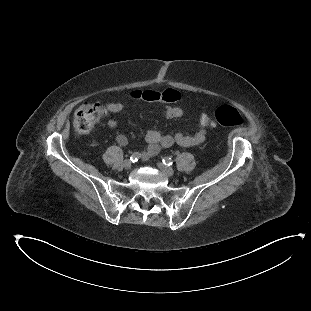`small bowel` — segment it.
<instances>
[{"label": "small bowel", "mask_w": 311, "mask_h": 311, "mask_svg": "<svg viewBox=\"0 0 311 311\" xmlns=\"http://www.w3.org/2000/svg\"><path fill=\"white\" fill-rule=\"evenodd\" d=\"M106 110L109 113L121 112L125 105L120 101L110 100L106 104ZM162 115L168 119L179 118L183 115V111L180 107L167 106L163 111ZM107 125L110 128H115L118 125L116 119L110 118L107 120ZM206 129L205 125L199 121L193 134L185 135L177 133L175 135L162 134L157 131H149L145 136L146 149L144 152V159H149L162 149L171 147L174 144H178L185 147H194L201 145L205 140ZM117 142L120 145H125L127 139L124 135L120 134L117 136Z\"/></svg>", "instance_id": "obj_1"}]
</instances>
